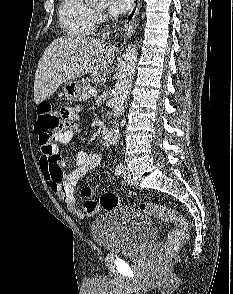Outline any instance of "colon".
Segmentation results:
<instances>
[{
	"label": "colon",
	"mask_w": 233,
	"mask_h": 294,
	"mask_svg": "<svg viewBox=\"0 0 233 294\" xmlns=\"http://www.w3.org/2000/svg\"><path fill=\"white\" fill-rule=\"evenodd\" d=\"M61 113L62 110L59 114L48 102H42L38 106L37 119L34 127L39 137L41 150L51 149L55 135L66 130L60 129V121H62ZM45 155L55 156L52 154ZM119 203L120 200L114 193H104L100 197V206L106 210L117 207ZM138 207L143 213L174 225V228L168 234L165 245L159 252V261L163 262L175 249L180 247L187 240V222L179 213L167 206L151 202H142Z\"/></svg>",
	"instance_id": "1"
}]
</instances>
